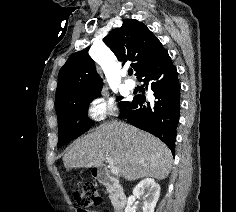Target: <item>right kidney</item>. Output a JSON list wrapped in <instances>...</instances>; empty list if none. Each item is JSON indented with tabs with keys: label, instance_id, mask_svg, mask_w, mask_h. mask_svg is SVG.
<instances>
[{
	"label": "right kidney",
	"instance_id": "ca27d5eb",
	"mask_svg": "<svg viewBox=\"0 0 236 212\" xmlns=\"http://www.w3.org/2000/svg\"><path fill=\"white\" fill-rule=\"evenodd\" d=\"M160 196V186L154 179L146 178L140 181L133 189V195L128 197L125 212H135L132 207L136 198L142 197L144 200L143 212H154Z\"/></svg>",
	"mask_w": 236,
	"mask_h": 212
}]
</instances>
